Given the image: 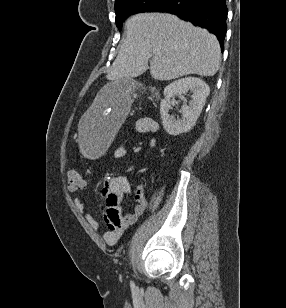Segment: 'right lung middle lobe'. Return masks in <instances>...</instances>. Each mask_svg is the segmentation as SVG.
Returning a JSON list of instances; mask_svg holds the SVG:
<instances>
[{
	"instance_id": "obj_1",
	"label": "right lung middle lobe",
	"mask_w": 286,
	"mask_h": 308,
	"mask_svg": "<svg viewBox=\"0 0 286 308\" xmlns=\"http://www.w3.org/2000/svg\"><path fill=\"white\" fill-rule=\"evenodd\" d=\"M168 0H120L115 3L116 25L119 29L130 15L140 12H152Z\"/></svg>"
}]
</instances>
